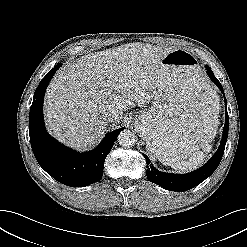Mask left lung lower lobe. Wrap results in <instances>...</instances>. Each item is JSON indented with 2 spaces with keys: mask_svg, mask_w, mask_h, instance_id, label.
<instances>
[{
  "mask_svg": "<svg viewBox=\"0 0 247 247\" xmlns=\"http://www.w3.org/2000/svg\"><path fill=\"white\" fill-rule=\"evenodd\" d=\"M206 70L211 80L219 87V89L223 93L222 85L217 80V78H215L212 70L208 66H206ZM224 99H225V108H226L225 126H224L222 140L219 149L212 156V158L203 167L199 168L198 170L181 175V174H171V173H164L158 171L157 169L154 168L153 165L150 164V159L146 155H143L147 163L146 175L149 181L170 191H186L199 185L216 170L222 159L227 141V136H228L229 117L227 113L226 98Z\"/></svg>",
  "mask_w": 247,
  "mask_h": 247,
  "instance_id": "obj_1",
  "label": "left lung lower lobe"
}]
</instances>
